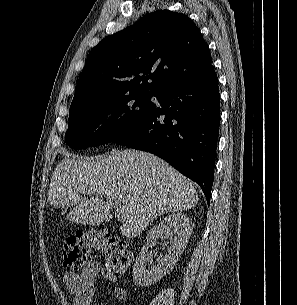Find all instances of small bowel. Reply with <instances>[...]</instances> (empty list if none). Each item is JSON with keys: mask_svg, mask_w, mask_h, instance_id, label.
I'll return each instance as SVG.
<instances>
[{"mask_svg": "<svg viewBox=\"0 0 297 305\" xmlns=\"http://www.w3.org/2000/svg\"><path fill=\"white\" fill-rule=\"evenodd\" d=\"M100 274L109 282L115 283L118 280L108 266L103 267L98 261L87 263L81 273L66 272L64 274V283L72 295L73 305H91L95 293L96 280ZM113 293L118 301L127 299V291L124 287H114Z\"/></svg>", "mask_w": 297, "mask_h": 305, "instance_id": "c3829d8e", "label": "small bowel"}]
</instances>
